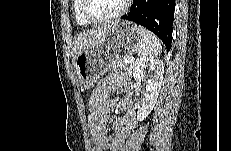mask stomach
I'll use <instances>...</instances> for the list:
<instances>
[{
	"label": "stomach",
	"instance_id": "obj_1",
	"mask_svg": "<svg viewBox=\"0 0 231 151\" xmlns=\"http://www.w3.org/2000/svg\"><path fill=\"white\" fill-rule=\"evenodd\" d=\"M140 45L141 37L137 25L128 21L114 22L99 44L77 57L75 71L80 87H93L118 58L134 54Z\"/></svg>",
	"mask_w": 231,
	"mask_h": 151
}]
</instances>
